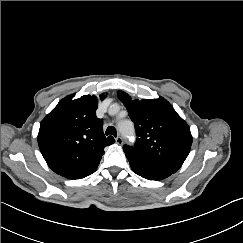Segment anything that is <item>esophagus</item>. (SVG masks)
Returning <instances> with one entry per match:
<instances>
[{"instance_id":"34e87169","label":"esophagus","mask_w":243,"mask_h":243,"mask_svg":"<svg viewBox=\"0 0 243 243\" xmlns=\"http://www.w3.org/2000/svg\"><path fill=\"white\" fill-rule=\"evenodd\" d=\"M115 141L117 144L121 145L123 143V138L121 136H118L115 138Z\"/></svg>"}]
</instances>
